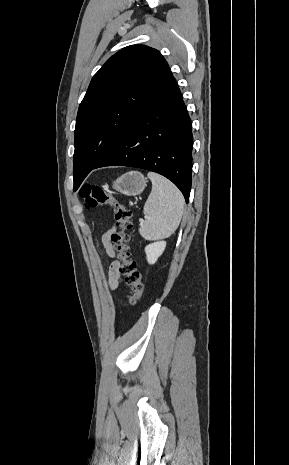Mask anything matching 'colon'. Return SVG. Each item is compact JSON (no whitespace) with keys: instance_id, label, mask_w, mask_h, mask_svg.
Instances as JSON below:
<instances>
[{"instance_id":"colon-1","label":"colon","mask_w":289,"mask_h":465,"mask_svg":"<svg viewBox=\"0 0 289 465\" xmlns=\"http://www.w3.org/2000/svg\"><path fill=\"white\" fill-rule=\"evenodd\" d=\"M78 193L84 200V205L88 210L104 204L113 208L117 230L113 232L111 241L120 262L119 272L124 276L125 282L131 288L126 307L136 305L142 296L144 284L137 263L131 258L129 247V231L132 229L131 210L99 185L86 184L79 189Z\"/></svg>"}]
</instances>
